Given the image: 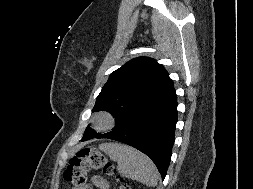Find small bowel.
I'll return each mask as SVG.
<instances>
[{
	"label": "small bowel",
	"mask_w": 253,
	"mask_h": 189,
	"mask_svg": "<svg viewBox=\"0 0 253 189\" xmlns=\"http://www.w3.org/2000/svg\"><path fill=\"white\" fill-rule=\"evenodd\" d=\"M91 182L92 185L98 189H109V184L107 180L101 176H94Z\"/></svg>",
	"instance_id": "c3829d8e"
}]
</instances>
